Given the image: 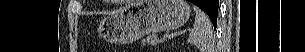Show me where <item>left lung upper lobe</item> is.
I'll list each match as a JSON object with an SVG mask.
<instances>
[{
  "mask_svg": "<svg viewBox=\"0 0 305 52\" xmlns=\"http://www.w3.org/2000/svg\"><path fill=\"white\" fill-rule=\"evenodd\" d=\"M206 12L208 14V16L210 17L212 23H216L217 22V14H218V10H210V9H206Z\"/></svg>",
  "mask_w": 305,
  "mask_h": 52,
  "instance_id": "obj_1",
  "label": "left lung upper lobe"
}]
</instances>
